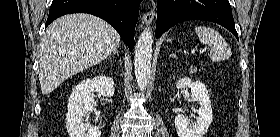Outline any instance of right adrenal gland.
Returning a JSON list of instances; mask_svg holds the SVG:
<instances>
[{
	"mask_svg": "<svg viewBox=\"0 0 280 137\" xmlns=\"http://www.w3.org/2000/svg\"><path fill=\"white\" fill-rule=\"evenodd\" d=\"M112 54H116L119 57V53L117 49H115Z\"/></svg>",
	"mask_w": 280,
	"mask_h": 137,
	"instance_id": "obj_1",
	"label": "right adrenal gland"
}]
</instances>
